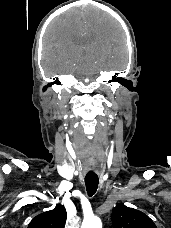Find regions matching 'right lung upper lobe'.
Segmentation results:
<instances>
[{"label":"right lung upper lobe","instance_id":"obj_1","mask_svg":"<svg viewBox=\"0 0 171 228\" xmlns=\"http://www.w3.org/2000/svg\"><path fill=\"white\" fill-rule=\"evenodd\" d=\"M67 213L62 205L34 217L28 228H64Z\"/></svg>","mask_w":171,"mask_h":228}]
</instances>
